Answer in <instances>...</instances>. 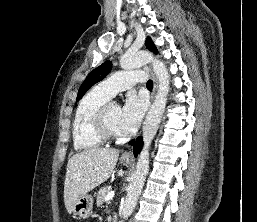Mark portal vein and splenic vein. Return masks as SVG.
<instances>
[{"label": "portal vein and splenic vein", "instance_id": "18ae733b", "mask_svg": "<svg viewBox=\"0 0 257 222\" xmlns=\"http://www.w3.org/2000/svg\"><path fill=\"white\" fill-rule=\"evenodd\" d=\"M114 194V191L109 192L105 197V201H110L111 199H113Z\"/></svg>", "mask_w": 257, "mask_h": 222}]
</instances>
